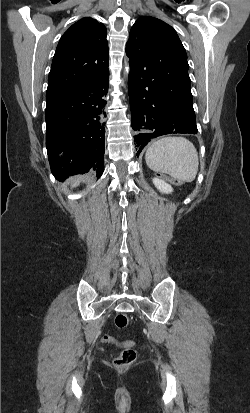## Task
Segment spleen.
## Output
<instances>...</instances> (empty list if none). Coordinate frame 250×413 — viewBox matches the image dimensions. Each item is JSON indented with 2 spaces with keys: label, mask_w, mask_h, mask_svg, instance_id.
<instances>
[{
  "label": "spleen",
  "mask_w": 250,
  "mask_h": 413,
  "mask_svg": "<svg viewBox=\"0 0 250 413\" xmlns=\"http://www.w3.org/2000/svg\"><path fill=\"white\" fill-rule=\"evenodd\" d=\"M147 166L169 174L177 181L192 182L198 172L199 159L195 146L184 137H164L155 141L146 151Z\"/></svg>",
  "instance_id": "spleen-1"
}]
</instances>
